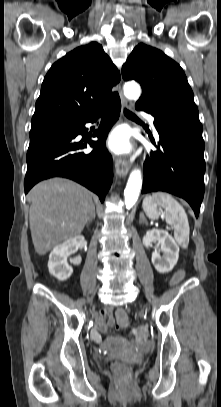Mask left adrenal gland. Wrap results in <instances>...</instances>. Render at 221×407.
<instances>
[{"instance_id": "1", "label": "left adrenal gland", "mask_w": 221, "mask_h": 407, "mask_svg": "<svg viewBox=\"0 0 221 407\" xmlns=\"http://www.w3.org/2000/svg\"><path fill=\"white\" fill-rule=\"evenodd\" d=\"M139 222H140V223L143 222V223H145V224H148V222H147L146 218L144 217V214H143V213H140Z\"/></svg>"}]
</instances>
